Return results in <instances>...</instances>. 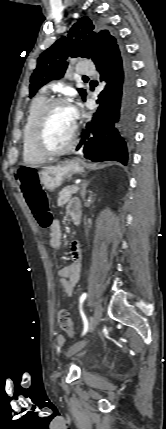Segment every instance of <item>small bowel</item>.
<instances>
[{
    "label": "small bowel",
    "instance_id": "small-bowel-1",
    "mask_svg": "<svg viewBox=\"0 0 166 429\" xmlns=\"http://www.w3.org/2000/svg\"><path fill=\"white\" fill-rule=\"evenodd\" d=\"M67 213L72 216L73 213L80 214V203L77 199H73L69 202L66 208ZM49 244L54 250H59L62 244V232L61 225L58 220H54L51 224V230L49 234ZM71 257L72 262L58 270L57 275L60 284L62 285L64 292L67 296L73 295L76 284L80 279L81 272V248L77 241L71 243ZM66 342L63 335L57 336V343L64 345Z\"/></svg>",
    "mask_w": 166,
    "mask_h": 429
}]
</instances>
